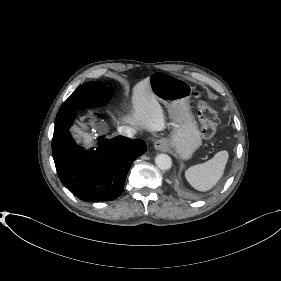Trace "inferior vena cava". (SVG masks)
<instances>
[{"instance_id": "obj_1", "label": "inferior vena cava", "mask_w": 281, "mask_h": 281, "mask_svg": "<svg viewBox=\"0 0 281 281\" xmlns=\"http://www.w3.org/2000/svg\"><path fill=\"white\" fill-rule=\"evenodd\" d=\"M118 132L126 137L133 138L136 134V131L130 126H120Z\"/></svg>"}]
</instances>
